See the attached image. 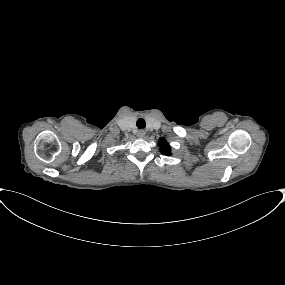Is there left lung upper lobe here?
Masks as SVG:
<instances>
[{
	"mask_svg": "<svg viewBox=\"0 0 285 285\" xmlns=\"http://www.w3.org/2000/svg\"><path fill=\"white\" fill-rule=\"evenodd\" d=\"M158 146L162 148V154L170 155V146L165 139H160L158 142Z\"/></svg>",
	"mask_w": 285,
	"mask_h": 285,
	"instance_id": "1",
	"label": "left lung upper lobe"
}]
</instances>
